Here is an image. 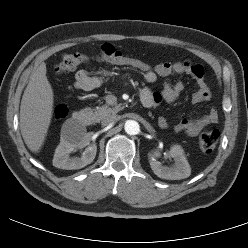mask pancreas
I'll list each match as a JSON object with an SVG mask.
<instances>
[{
  "mask_svg": "<svg viewBox=\"0 0 248 248\" xmlns=\"http://www.w3.org/2000/svg\"><path fill=\"white\" fill-rule=\"evenodd\" d=\"M92 112V117L94 120L99 121L111 114H116L121 110V105H115L114 107H109L107 104L96 107L95 109H89Z\"/></svg>",
  "mask_w": 248,
  "mask_h": 248,
  "instance_id": "1",
  "label": "pancreas"
}]
</instances>
